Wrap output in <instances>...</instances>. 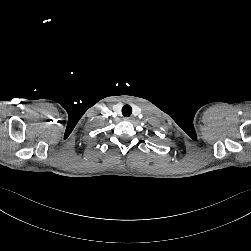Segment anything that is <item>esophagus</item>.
<instances>
[{"label":"esophagus","mask_w":251,"mask_h":251,"mask_svg":"<svg viewBox=\"0 0 251 251\" xmlns=\"http://www.w3.org/2000/svg\"><path fill=\"white\" fill-rule=\"evenodd\" d=\"M124 120H125V121H131L132 118H131V117H125Z\"/></svg>","instance_id":"esophagus-1"}]
</instances>
